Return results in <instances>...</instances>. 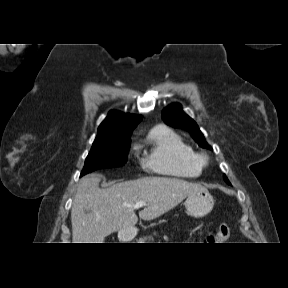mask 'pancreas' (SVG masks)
<instances>
[{
    "mask_svg": "<svg viewBox=\"0 0 288 288\" xmlns=\"http://www.w3.org/2000/svg\"><path fill=\"white\" fill-rule=\"evenodd\" d=\"M151 239H152V236L140 238L139 240H140V242H143L144 240H151Z\"/></svg>",
    "mask_w": 288,
    "mask_h": 288,
    "instance_id": "obj_1",
    "label": "pancreas"
}]
</instances>
